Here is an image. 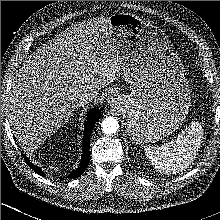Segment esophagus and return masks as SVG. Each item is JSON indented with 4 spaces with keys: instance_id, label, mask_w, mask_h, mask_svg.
I'll use <instances>...</instances> for the list:
<instances>
[{
    "instance_id": "1",
    "label": "esophagus",
    "mask_w": 220,
    "mask_h": 220,
    "mask_svg": "<svg viewBox=\"0 0 220 220\" xmlns=\"http://www.w3.org/2000/svg\"><path fill=\"white\" fill-rule=\"evenodd\" d=\"M107 102L109 106L116 107V105L120 102V98L117 95H113L108 97Z\"/></svg>"
}]
</instances>
